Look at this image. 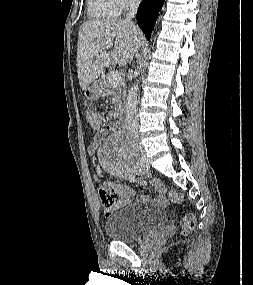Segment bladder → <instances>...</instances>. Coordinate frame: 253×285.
Returning <instances> with one entry per match:
<instances>
[{
    "instance_id": "31cf9c89",
    "label": "bladder",
    "mask_w": 253,
    "mask_h": 285,
    "mask_svg": "<svg viewBox=\"0 0 253 285\" xmlns=\"http://www.w3.org/2000/svg\"><path fill=\"white\" fill-rule=\"evenodd\" d=\"M166 220L163 208L129 203L112 212L104 223V232L111 240L130 243L162 226Z\"/></svg>"
}]
</instances>
